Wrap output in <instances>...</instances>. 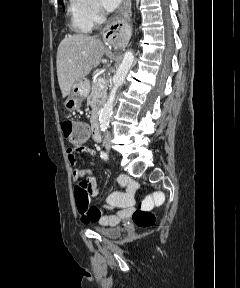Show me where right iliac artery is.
I'll return each instance as SVG.
<instances>
[{
	"label": "right iliac artery",
	"instance_id": "obj_1",
	"mask_svg": "<svg viewBox=\"0 0 240 288\" xmlns=\"http://www.w3.org/2000/svg\"><path fill=\"white\" fill-rule=\"evenodd\" d=\"M100 157L104 160H108L109 159V156L108 154L105 152V151H101L100 152Z\"/></svg>",
	"mask_w": 240,
	"mask_h": 288
}]
</instances>
